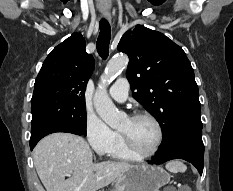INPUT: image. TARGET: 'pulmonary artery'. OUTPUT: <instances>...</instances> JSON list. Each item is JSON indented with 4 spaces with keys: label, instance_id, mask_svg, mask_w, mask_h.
I'll list each match as a JSON object with an SVG mask.
<instances>
[{
    "label": "pulmonary artery",
    "instance_id": "pulmonary-artery-1",
    "mask_svg": "<svg viewBox=\"0 0 233 191\" xmlns=\"http://www.w3.org/2000/svg\"><path fill=\"white\" fill-rule=\"evenodd\" d=\"M129 92V82L126 78L118 79L110 88V97L119 102L123 103L127 100Z\"/></svg>",
    "mask_w": 233,
    "mask_h": 191
}]
</instances>
